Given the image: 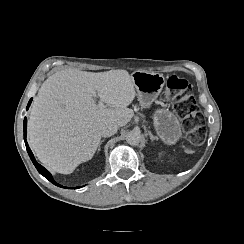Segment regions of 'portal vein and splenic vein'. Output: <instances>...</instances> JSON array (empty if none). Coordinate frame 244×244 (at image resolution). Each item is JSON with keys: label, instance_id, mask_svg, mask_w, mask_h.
Segmentation results:
<instances>
[{"label": "portal vein and splenic vein", "instance_id": "obj_1", "mask_svg": "<svg viewBox=\"0 0 244 244\" xmlns=\"http://www.w3.org/2000/svg\"><path fill=\"white\" fill-rule=\"evenodd\" d=\"M94 96L96 97L99 106H104L103 101L99 98V96H98V94L96 92L94 93Z\"/></svg>", "mask_w": 244, "mask_h": 244}]
</instances>
